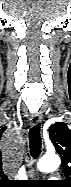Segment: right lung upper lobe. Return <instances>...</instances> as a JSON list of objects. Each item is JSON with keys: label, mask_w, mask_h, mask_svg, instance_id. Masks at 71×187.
Here are the masks:
<instances>
[{"label": "right lung upper lobe", "mask_w": 71, "mask_h": 187, "mask_svg": "<svg viewBox=\"0 0 71 187\" xmlns=\"http://www.w3.org/2000/svg\"><path fill=\"white\" fill-rule=\"evenodd\" d=\"M6 128H2L0 131L3 132Z\"/></svg>", "instance_id": "obj_1"}]
</instances>
